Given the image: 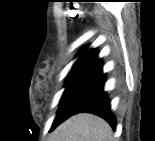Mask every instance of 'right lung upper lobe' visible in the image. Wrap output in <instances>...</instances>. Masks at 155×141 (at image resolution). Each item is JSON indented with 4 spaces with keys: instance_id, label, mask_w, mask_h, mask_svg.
<instances>
[{
    "instance_id": "obj_1",
    "label": "right lung upper lobe",
    "mask_w": 155,
    "mask_h": 141,
    "mask_svg": "<svg viewBox=\"0 0 155 141\" xmlns=\"http://www.w3.org/2000/svg\"><path fill=\"white\" fill-rule=\"evenodd\" d=\"M86 48H84L78 55L84 52ZM98 52L96 49H91L83 53L79 59L73 65L71 72H94L96 73L102 68L101 59L97 58Z\"/></svg>"
}]
</instances>
